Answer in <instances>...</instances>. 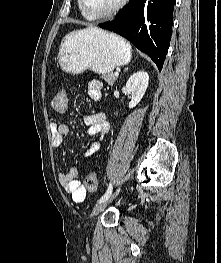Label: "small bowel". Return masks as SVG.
I'll use <instances>...</instances> for the list:
<instances>
[{"label":"small bowel","instance_id":"c3829d8e","mask_svg":"<svg viewBox=\"0 0 221 263\" xmlns=\"http://www.w3.org/2000/svg\"><path fill=\"white\" fill-rule=\"evenodd\" d=\"M103 85L98 80L89 82L87 93L89 97L97 102L102 98ZM85 123L88 126V135L91 137L99 136L100 138L108 134L110 130L109 123L104 113H95L85 117ZM52 145L59 147L64 142V139L70 134L69 127L65 124L53 123L51 125ZM100 147L99 141H94L85 150L84 155L90 156L95 153ZM80 172L77 168H71L68 172H59L58 179L61 186L71 195L73 202L81 203L86 197V190L81 185Z\"/></svg>","mask_w":221,"mask_h":263}]
</instances>
